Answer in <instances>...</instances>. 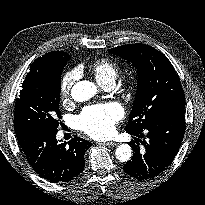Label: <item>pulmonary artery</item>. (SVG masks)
Here are the masks:
<instances>
[{
    "instance_id": "pulmonary-artery-1",
    "label": "pulmonary artery",
    "mask_w": 205,
    "mask_h": 205,
    "mask_svg": "<svg viewBox=\"0 0 205 205\" xmlns=\"http://www.w3.org/2000/svg\"><path fill=\"white\" fill-rule=\"evenodd\" d=\"M112 86H113V83L106 85V87H107L108 89H110Z\"/></svg>"
}]
</instances>
